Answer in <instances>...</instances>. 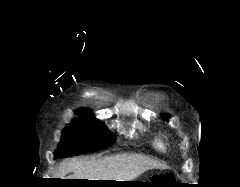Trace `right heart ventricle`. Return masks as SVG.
Returning <instances> with one entry per match:
<instances>
[{
    "label": "right heart ventricle",
    "mask_w": 240,
    "mask_h": 187,
    "mask_svg": "<svg viewBox=\"0 0 240 187\" xmlns=\"http://www.w3.org/2000/svg\"><path fill=\"white\" fill-rule=\"evenodd\" d=\"M155 146L156 148H158L159 150H165L166 149V143L165 141L163 140V138H158L156 141H155Z\"/></svg>",
    "instance_id": "obj_1"
}]
</instances>
